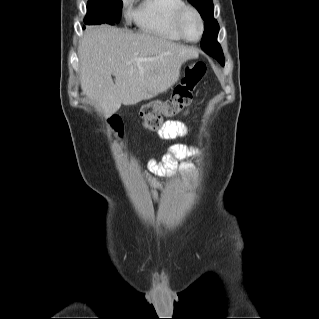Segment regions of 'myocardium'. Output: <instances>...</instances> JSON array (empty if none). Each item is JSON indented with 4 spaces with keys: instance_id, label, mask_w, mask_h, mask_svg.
<instances>
[{
    "instance_id": "obj_1",
    "label": "myocardium",
    "mask_w": 319,
    "mask_h": 319,
    "mask_svg": "<svg viewBox=\"0 0 319 319\" xmlns=\"http://www.w3.org/2000/svg\"><path fill=\"white\" fill-rule=\"evenodd\" d=\"M188 12L193 13L199 22L200 33H199L198 37L195 39L188 38L182 29V25H181L182 19ZM172 27H173L174 31L177 33V35L181 39H183L187 42H198L202 38L203 33H204V23H203L202 16L195 7L190 6V5H184L176 11V13L174 14L173 19H172Z\"/></svg>"
}]
</instances>
